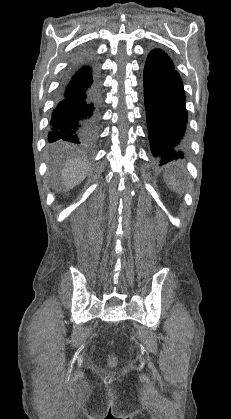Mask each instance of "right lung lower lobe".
<instances>
[{
    "label": "right lung lower lobe",
    "mask_w": 231,
    "mask_h": 419,
    "mask_svg": "<svg viewBox=\"0 0 231 419\" xmlns=\"http://www.w3.org/2000/svg\"><path fill=\"white\" fill-rule=\"evenodd\" d=\"M98 103L99 90L90 65L73 63L57 96L48 141L91 146L97 134Z\"/></svg>",
    "instance_id": "98d812e1"
}]
</instances>
